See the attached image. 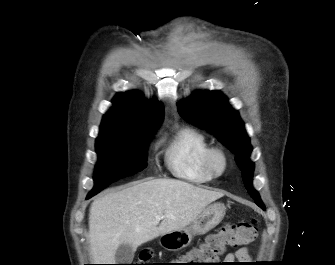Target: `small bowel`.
<instances>
[{
	"mask_svg": "<svg viewBox=\"0 0 335 265\" xmlns=\"http://www.w3.org/2000/svg\"><path fill=\"white\" fill-rule=\"evenodd\" d=\"M250 260L249 250L245 247L238 249L234 253H229L225 257L226 263H235V261L246 262Z\"/></svg>",
	"mask_w": 335,
	"mask_h": 265,
	"instance_id": "c3829d8e",
	"label": "small bowel"
}]
</instances>
